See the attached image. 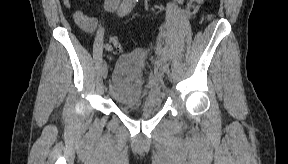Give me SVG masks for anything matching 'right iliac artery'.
<instances>
[{"label":"right iliac artery","instance_id":"82829eb1","mask_svg":"<svg viewBox=\"0 0 288 164\" xmlns=\"http://www.w3.org/2000/svg\"><path fill=\"white\" fill-rule=\"evenodd\" d=\"M119 15H120V16L125 15V11L120 12ZM104 47H105V49H106L107 51H112V50H113V47H112L111 44H108V43H107V44L104 45Z\"/></svg>","mask_w":288,"mask_h":164}]
</instances>
